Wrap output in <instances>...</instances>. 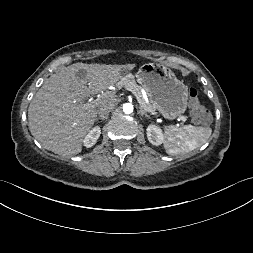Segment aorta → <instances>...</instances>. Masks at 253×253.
Instances as JSON below:
<instances>
[{"label": "aorta", "mask_w": 253, "mask_h": 253, "mask_svg": "<svg viewBox=\"0 0 253 253\" xmlns=\"http://www.w3.org/2000/svg\"><path fill=\"white\" fill-rule=\"evenodd\" d=\"M123 112H124L125 114H130V113H132V112H133V105L130 104V103H125V104L123 105Z\"/></svg>", "instance_id": "1"}]
</instances>
